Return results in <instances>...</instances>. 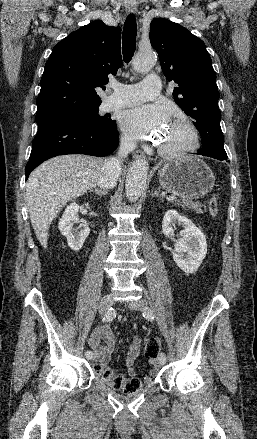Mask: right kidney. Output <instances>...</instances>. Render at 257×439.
I'll list each match as a JSON object with an SVG mask.
<instances>
[{
  "label": "right kidney",
  "mask_w": 257,
  "mask_h": 439,
  "mask_svg": "<svg viewBox=\"0 0 257 439\" xmlns=\"http://www.w3.org/2000/svg\"><path fill=\"white\" fill-rule=\"evenodd\" d=\"M78 210L79 206L76 203H71L66 207L58 224L61 234L67 238L68 246L74 251L81 249L90 233V229L87 225L83 224L82 229L79 232L78 228L73 227L74 224L80 222L77 215Z\"/></svg>",
  "instance_id": "right-kidney-1"
}]
</instances>
